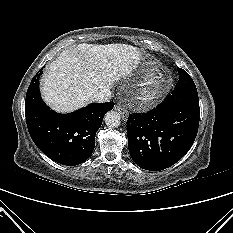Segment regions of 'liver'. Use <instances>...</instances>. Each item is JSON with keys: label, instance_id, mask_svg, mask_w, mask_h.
Returning <instances> with one entry per match:
<instances>
[{"label": "liver", "instance_id": "obj_1", "mask_svg": "<svg viewBox=\"0 0 233 233\" xmlns=\"http://www.w3.org/2000/svg\"><path fill=\"white\" fill-rule=\"evenodd\" d=\"M140 60L138 48L128 44H79L49 65L42 97L55 111L72 112L86 106L95 93L112 87Z\"/></svg>", "mask_w": 233, "mask_h": 233}]
</instances>
